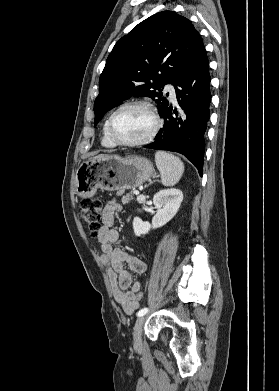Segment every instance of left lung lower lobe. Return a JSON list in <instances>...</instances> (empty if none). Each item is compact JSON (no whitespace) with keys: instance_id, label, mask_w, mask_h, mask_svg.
<instances>
[{"instance_id":"left-lung-lower-lobe-1","label":"left lung lower lobe","mask_w":279,"mask_h":391,"mask_svg":"<svg viewBox=\"0 0 279 391\" xmlns=\"http://www.w3.org/2000/svg\"><path fill=\"white\" fill-rule=\"evenodd\" d=\"M209 61L203 48L194 64L175 86L180 110L167 106L162 112L164 126L147 148L178 152L186 156L202 175L205 133L210 117Z\"/></svg>"}]
</instances>
